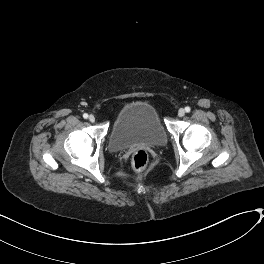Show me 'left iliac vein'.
<instances>
[{"mask_svg": "<svg viewBox=\"0 0 264 264\" xmlns=\"http://www.w3.org/2000/svg\"><path fill=\"white\" fill-rule=\"evenodd\" d=\"M184 114H185V110L183 108H180L178 110V116L182 117V116H184Z\"/></svg>", "mask_w": 264, "mask_h": 264, "instance_id": "obj_1", "label": "left iliac vein"}]
</instances>
